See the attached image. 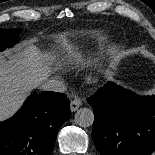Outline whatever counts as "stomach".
Wrapping results in <instances>:
<instances>
[{
	"instance_id": "stomach-1",
	"label": "stomach",
	"mask_w": 155,
	"mask_h": 155,
	"mask_svg": "<svg viewBox=\"0 0 155 155\" xmlns=\"http://www.w3.org/2000/svg\"><path fill=\"white\" fill-rule=\"evenodd\" d=\"M108 73H109V75L111 77H114L115 75H117L119 73V66H118V63L117 62L112 61L110 63Z\"/></svg>"
}]
</instances>
